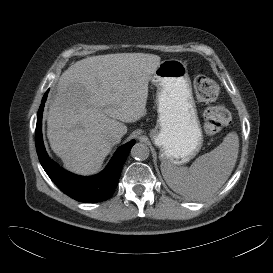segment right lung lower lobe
<instances>
[{
  "mask_svg": "<svg viewBox=\"0 0 273 273\" xmlns=\"http://www.w3.org/2000/svg\"><path fill=\"white\" fill-rule=\"evenodd\" d=\"M48 91L44 94L38 114L35 132V144L39 161L56 186L71 198L85 202H101L107 200L117 187L122 166L135 144V140L121 146L108 166L99 174L90 177L77 176L60 168L51 160L45 150L42 138V113Z\"/></svg>",
  "mask_w": 273,
  "mask_h": 273,
  "instance_id": "1",
  "label": "right lung lower lobe"
}]
</instances>
